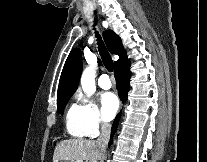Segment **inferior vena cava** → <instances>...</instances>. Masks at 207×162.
<instances>
[{"label":"inferior vena cava","mask_w":207,"mask_h":162,"mask_svg":"<svg viewBox=\"0 0 207 162\" xmlns=\"http://www.w3.org/2000/svg\"><path fill=\"white\" fill-rule=\"evenodd\" d=\"M111 134V125L106 122L101 123V133L98 139L96 140V145L100 148L102 152L105 151L106 145L109 142Z\"/></svg>","instance_id":"602c4592"}]
</instances>
